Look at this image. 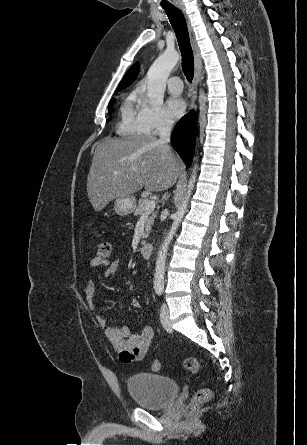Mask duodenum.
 Segmentation results:
<instances>
[{
	"mask_svg": "<svg viewBox=\"0 0 307 445\" xmlns=\"http://www.w3.org/2000/svg\"><path fill=\"white\" fill-rule=\"evenodd\" d=\"M153 252V245L151 243H144L140 247V253L144 258H149Z\"/></svg>",
	"mask_w": 307,
	"mask_h": 445,
	"instance_id": "obj_1",
	"label": "duodenum"
}]
</instances>
